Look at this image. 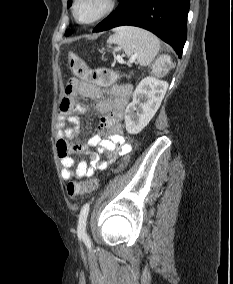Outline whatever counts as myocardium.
<instances>
[{
    "instance_id": "1",
    "label": "myocardium",
    "mask_w": 233,
    "mask_h": 284,
    "mask_svg": "<svg viewBox=\"0 0 233 284\" xmlns=\"http://www.w3.org/2000/svg\"><path fill=\"white\" fill-rule=\"evenodd\" d=\"M80 2L81 0H74L73 5H72V14H73L74 19L78 23L83 24V25H91V24H94L102 20L103 18L108 16L110 13H112L117 6V0H105V5L103 9L95 17L89 20H82L81 18H79L77 14V7Z\"/></svg>"
}]
</instances>
